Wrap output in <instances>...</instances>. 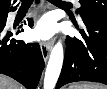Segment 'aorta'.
Instances as JSON below:
<instances>
[{
    "label": "aorta",
    "mask_w": 107,
    "mask_h": 89,
    "mask_svg": "<svg viewBox=\"0 0 107 89\" xmlns=\"http://www.w3.org/2000/svg\"><path fill=\"white\" fill-rule=\"evenodd\" d=\"M63 46L58 42L52 49L44 77V89H54L63 64Z\"/></svg>",
    "instance_id": "1"
}]
</instances>
